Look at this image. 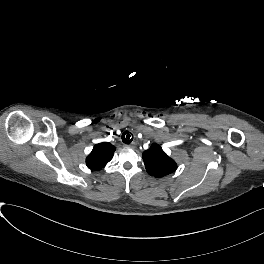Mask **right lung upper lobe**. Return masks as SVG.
I'll use <instances>...</instances> for the list:
<instances>
[{
  "label": "right lung upper lobe",
  "mask_w": 264,
  "mask_h": 264,
  "mask_svg": "<svg viewBox=\"0 0 264 264\" xmlns=\"http://www.w3.org/2000/svg\"><path fill=\"white\" fill-rule=\"evenodd\" d=\"M115 147L108 142L96 144L92 152L86 158V165L89 169L98 171L112 159Z\"/></svg>",
  "instance_id": "right-lung-upper-lobe-1"
}]
</instances>
